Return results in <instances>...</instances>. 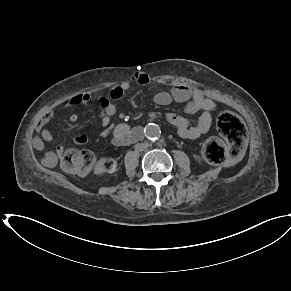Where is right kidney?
Returning <instances> with one entry per match:
<instances>
[{
    "instance_id": "right-kidney-1",
    "label": "right kidney",
    "mask_w": 291,
    "mask_h": 291,
    "mask_svg": "<svg viewBox=\"0 0 291 291\" xmlns=\"http://www.w3.org/2000/svg\"><path fill=\"white\" fill-rule=\"evenodd\" d=\"M106 171H107V169L104 166V160L98 161L97 165L94 168L95 174H102Z\"/></svg>"
}]
</instances>
